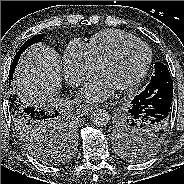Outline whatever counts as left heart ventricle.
Returning <instances> with one entry per match:
<instances>
[{"label": "left heart ventricle", "mask_w": 184, "mask_h": 184, "mask_svg": "<svg viewBox=\"0 0 184 184\" xmlns=\"http://www.w3.org/2000/svg\"><path fill=\"white\" fill-rule=\"evenodd\" d=\"M147 59V51L142 46H132L125 50L114 62L103 68L106 76L116 89L133 81L141 72Z\"/></svg>", "instance_id": "left-heart-ventricle-1"}]
</instances>
